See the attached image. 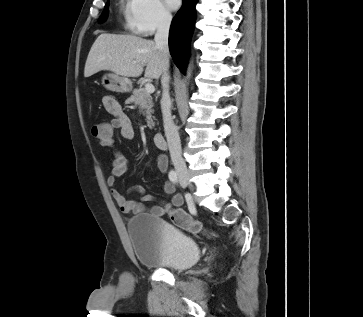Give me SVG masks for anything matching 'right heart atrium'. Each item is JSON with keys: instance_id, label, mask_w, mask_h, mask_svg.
I'll use <instances>...</instances> for the list:
<instances>
[{"instance_id": "obj_1", "label": "right heart atrium", "mask_w": 363, "mask_h": 317, "mask_svg": "<svg viewBox=\"0 0 363 317\" xmlns=\"http://www.w3.org/2000/svg\"><path fill=\"white\" fill-rule=\"evenodd\" d=\"M172 15L161 0H128L127 23L130 29L142 36L168 27Z\"/></svg>"}]
</instances>
